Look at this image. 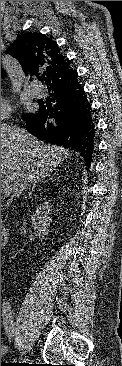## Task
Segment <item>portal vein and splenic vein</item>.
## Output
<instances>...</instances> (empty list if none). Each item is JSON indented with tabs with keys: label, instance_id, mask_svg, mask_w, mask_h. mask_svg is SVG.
I'll return each mask as SVG.
<instances>
[{
	"label": "portal vein and splenic vein",
	"instance_id": "18ae733b",
	"mask_svg": "<svg viewBox=\"0 0 122 366\" xmlns=\"http://www.w3.org/2000/svg\"><path fill=\"white\" fill-rule=\"evenodd\" d=\"M1 194L4 196H9L10 195V191L8 187H4L1 189Z\"/></svg>",
	"mask_w": 122,
	"mask_h": 366
}]
</instances>
